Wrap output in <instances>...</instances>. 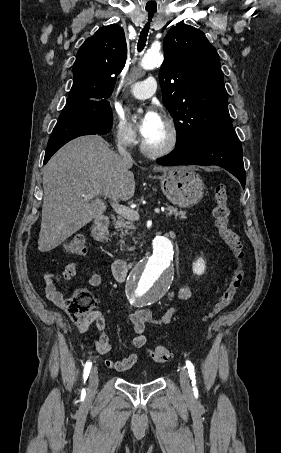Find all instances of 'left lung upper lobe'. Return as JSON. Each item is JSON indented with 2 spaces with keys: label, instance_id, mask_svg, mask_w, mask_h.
Masks as SVG:
<instances>
[{
  "label": "left lung upper lobe",
  "instance_id": "left-lung-upper-lobe-1",
  "mask_svg": "<svg viewBox=\"0 0 281 453\" xmlns=\"http://www.w3.org/2000/svg\"><path fill=\"white\" fill-rule=\"evenodd\" d=\"M159 72L163 102L177 128V147L233 130L219 55L204 33L171 28Z\"/></svg>",
  "mask_w": 281,
  "mask_h": 453
}]
</instances>
